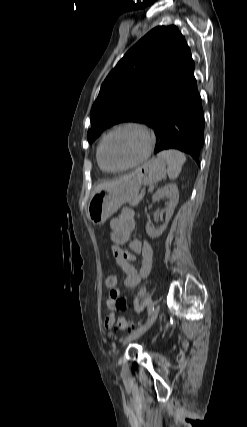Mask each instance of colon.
I'll list each match as a JSON object with an SVG mask.
<instances>
[{"label":"colon","mask_w":247,"mask_h":427,"mask_svg":"<svg viewBox=\"0 0 247 427\" xmlns=\"http://www.w3.org/2000/svg\"><path fill=\"white\" fill-rule=\"evenodd\" d=\"M118 284V276L114 273H108L105 277L106 288L114 291ZM116 327L119 330L130 331L135 327V321L132 316L119 317L117 319Z\"/></svg>","instance_id":"obj_1"}]
</instances>
